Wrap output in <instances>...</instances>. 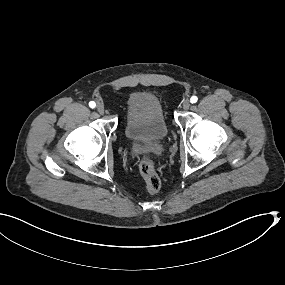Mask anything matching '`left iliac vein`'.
Returning <instances> with one entry per match:
<instances>
[{
	"label": "left iliac vein",
	"mask_w": 285,
	"mask_h": 285,
	"mask_svg": "<svg viewBox=\"0 0 285 285\" xmlns=\"http://www.w3.org/2000/svg\"><path fill=\"white\" fill-rule=\"evenodd\" d=\"M182 107H183L184 110H188V109H189V107H190V101H189V99L183 100V102H182Z\"/></svg>",
	"instance_id": "4c4485c4"
}]
</instances>
